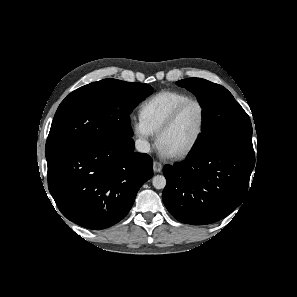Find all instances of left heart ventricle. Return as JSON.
Masks as SVG:
<instances>
[{
    "label": "left heart ventricle",
    "instance_id": "left-heart-ventricle-1",
    "mask_svg": "<svg viewBox=\"0 0 297 297\" xmlns=\"http://www.w3.org/2000/svg\"><path fill=\"white\" fill-rule=\"evenodd\" d=\"M200 120L201 113L199 107L194 103L187 105L173 127L162 136L160 147L169 154L185 149L195 138Z\"/></svg>",
    "mask_w": 297,
    "mask_h": 297
}]
</instances>
